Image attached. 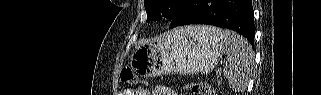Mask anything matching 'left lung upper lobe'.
I'll list each match as a JSON object with an SVG mask.
<instances>
[{
  "label": "left lung upper lobe",
  "instance_id": "left-lung-upper-lobe-1",
  "mask_svg": "<svg viewBox=\"0 0 321 95\" xmlns=\"http://www.w3.org/2000/svg\"><path fill=\"white\" fill-rule=\"evenodd\" d=\"M184 2L185 0H144L147 22L156 21L161 15L170 20Z\"/></svg>",
  "mask_w": 321,
  "mask_h": 95
}]
</instances>
